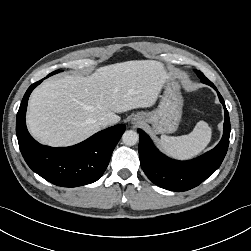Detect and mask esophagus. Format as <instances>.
Masks as SVG:
<instances>
[{
  "label": "esophagus",
  "instance_id": "obj_1",
  "mask_svg": "<svg viewBox=\"0 0 251 251\" xmlns=\"http://www.w3.org/2000/svg\"><path fill=\"white\" fill-rule=\"evenodd\" d=\"M132 124H133L134 126H138V125L140 124V120H139L138 118H134V119L132 120Z\"/></svg>",
  "mask_w": 251,
  "mask_h": 251
}]
</instances>
